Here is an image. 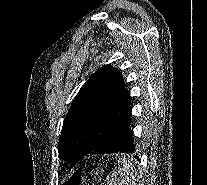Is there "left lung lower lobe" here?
Wrapping results in <instances>:
<instances>
[{
	"mask_svg": "<svg viewBox=\"0 0 207 185\" xmlns=\"http://www.w3.org/2000/svg\"><path fill=\"white\" fill-rule=\"evenodd\" d=\"M131 110L121 120L107 141V144L100 154L109 153H133L135 146L133 144V133L130 130ZM135 158L138 159L137 156Z\"/></svg>",
	"mask_w": 207,
	"mask_h": 185,
	"instance_id": "obj_1",
	"label": "left lung lower lobe"
}]
</instances>
